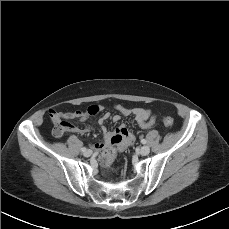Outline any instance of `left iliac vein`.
I'll return each mask as SVG.
<instances>
[{"label": "left iliac vein", "mask_w": 229, "mask_h": 229, "mask_svg": "<svg viewBox=\"0 0 229 229\" xmlns=\"http://www.w3.org/2000/svg\"><path fill=\"white\" fill-rule=\"evenodd\" d=\"M149 152H150V148H149V146H142L141 148H140V154L141 155H147V154H149Z\"/></svg>", "instance_id": "left-iliac-vein-1"}]
</instances>
